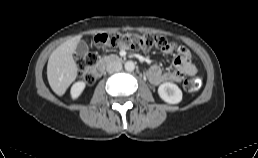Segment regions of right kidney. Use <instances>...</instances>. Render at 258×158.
I'll return each mask as SVG.
<instances>
[{
	"mask_svg": "<svg viewBox=\"0 0 258 158\" xmlns=\"http://www.w3.org/2000/svg\"><path fill=\"white\" fill-rule=\"evenodd\" d=\"M85 89V82L83 81H78L76 83L73 84V86L71 87V98L72 99H77L81 93L83 92V90Z\"/></svg>",
	"mask_w": 258,
	"mask_h": 158,
	"instance_id": "ca27d5eb",
	"label": "right kidney"
}]
</instances>
